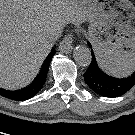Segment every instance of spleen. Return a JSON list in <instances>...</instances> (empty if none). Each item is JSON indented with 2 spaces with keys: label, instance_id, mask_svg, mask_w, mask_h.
<instances>
[{
  "label": "spleen",
  "instance_id": "obj_1",
  "mask_svg": "<svg viewBox=\"0 0 135 135\" xmlns=\"http://www.w3.org/2000/svg\"><path fill=\"white\" fill-rule=\"evenodd\" d=\"M101 66L109 73L124 77L135 70V54L125 52L110 59L99 58Z\"/></svg>",
  "mask_w": 135,
  "mask_h": 135
}]
</instances>
